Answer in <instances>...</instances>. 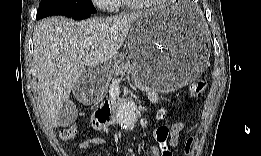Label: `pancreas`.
I'll return each instance as SVG.
<instances>
[{"mask_svg":"<svg viewBox=\"0 0 261 156\" xmlns=\"http://www.w3.org/2000/svg\"><path fill=\"white\" fill-rule=\"evenodd\" d=\"M140 67L136 63L121 61L118 65L112 66L109 72V78L118 75L138 76Z\"/></svg>","mask_w":261,"mask_h":156,"instance_id":"pancreas-1","label":"pancreas"}]
</instances>
